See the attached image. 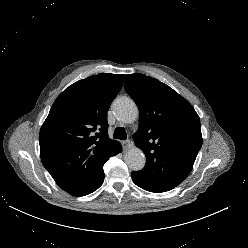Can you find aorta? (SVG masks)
<instances>
[{"mask_svg": "<svg viewBox=\"0 0 248 248\" xmlns=\"http://www.w3.org/2000/svg\"><path fill=\"white\" fill-rule=\"evenodd\" d=\"M114 112L117 119L125 124L133 123L139 115L135 102L128 97H122L115 101ZM126 165L134 171L141 170L146 163V158L141 149L133 147L124 155Z\"/></svg>", "mask_w": 248, "mask_h": 248, "instance_id": "1", "label": "aorta"}]
</instances>
